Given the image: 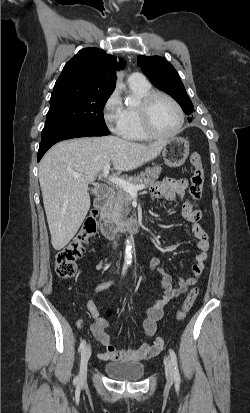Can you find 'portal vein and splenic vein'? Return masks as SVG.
I'll list each match as a JSON object with an SVG mask.
<instances>
[{
	"label": "portal vein and splenic vein",
	"mask_w": 250,
	"mask_h": 413,
	"mask_svg": "<svg viewBox=\"0 0 250 413\" xmlns=\"http://www.w3.org/2000/svg\"><path fill=\"white\" fill-rule=\"evenodd\" d=\"M109 170H110V164H106L103 168V175L105 178L108 177ZM108 179L110 182L116 184L117 186H120L122 189H124L130 194H136L139 190H143L145 188L144 184L135 185L131 183L130 181L124 180L116 176H109Z\"/></svg>",
	"instance_id": "obj_1"
}]
</instances>
